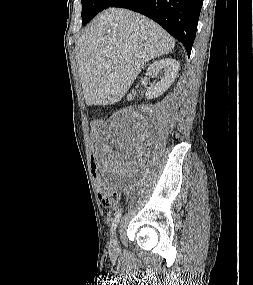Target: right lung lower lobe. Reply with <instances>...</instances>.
<instances>
[{
	"label": "right lung lower lobe",
	"instance_id": "98d812e1",
	"mask_svg": "<svg viewBox=\"0 0 253 285\" xmlns=\"http://www.w3.org/2000/svg\"><path fill=\"white\" fill-rule=\"evenodd\" d=\"M203 0H117L110 7L127 8L156 21L179 40L190 56Z\"/></svg>",
	"mask_w": 253,
	"mask_h": 285
}]
</instances>
